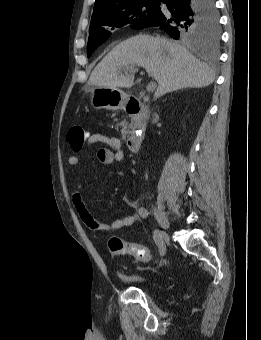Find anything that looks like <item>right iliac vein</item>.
<instances>
[{
	"mask_svg": "<svg viewBox=\"0 0 261 340\" xmlns=\"http://www.w3.org/2000/svg\"><path fill=\"white\" fill-rule=\"evenodd\" d=\"M152 211H153L159 225L164 230H167L169 228V220L167 218L166 213L157 205H152ZM163 237H164L165 241H169V237H168L167 234H164Z\"/></svg>",
	"mask_w": 261,
	"mask_h": 340,
	"instance_id": "1",
	"label": "right iliac vein"
}]
</instances>
